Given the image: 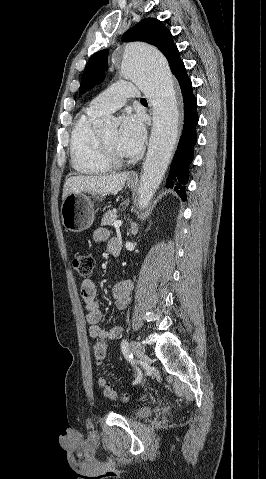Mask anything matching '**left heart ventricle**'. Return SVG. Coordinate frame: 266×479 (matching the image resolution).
<instances>
[{"mask_svg":"<svg viewBox=\"0 0 266 479\" xmlns=\"http://www.w3.org/2000/svg\"><path fill=\"white\" fill-rule=\"evenodd\" d=\"M101 136L104 138V140L107 142V144L110 146V148L118 156L124 157V154L121 152V150L119 148L117 129H111V130L105 131L101 134Z\"/></svg>","mask_w":266,"mask_h":479,"instance_id":"b2bd125f","label":"left heart ventricle"}]
</instances>
